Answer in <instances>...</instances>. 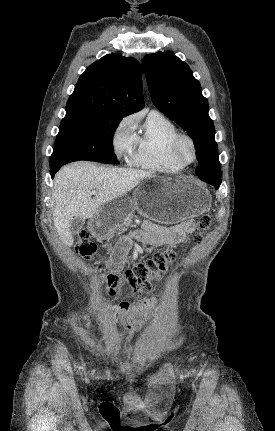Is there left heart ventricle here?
Here are the masks:
<instances>
[{
	"mask_svg": "<svg viewBox=\"0 0 275 431\" xmlns=\"http://www.w3.org/2000/svg\"><path fill=\"white\" fill-rule=\"evenodd\" d=\"M181 156L185 161H189L192 156L190 145L187 142H183L180 147Z\"/></svg>",
	"mask_w": 275,
	"mask_h": 431,
	"instance_id": "b2bd125f",
	"label": "left heart ventricle"
}]
</instances>
